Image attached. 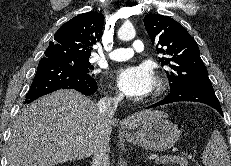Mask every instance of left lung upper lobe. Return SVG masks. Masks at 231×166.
Here are the masks:
<instances>
[{"instance_id": "obj_1", "label": "left lung upper lobe", "mask_w": 231, "mask_h": 166, "mask_svg": "<svg viewBox=\"0 0 231 166\" xmlns=\"http://www.w3.org/2000/svg\"><path fill=\"white\" fill-rule=\"evenodd\" d=\"M144 25L152 43L157 44V52L164 55L159 60L169 69L171 91L187 84L212 85L196 41L180 23L167 16L148 14Z\"/></svg>"}]
</instances>
